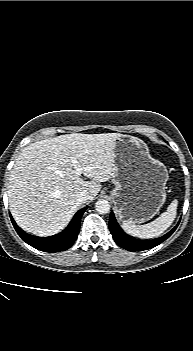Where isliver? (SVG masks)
Segmentation results:
<instances>
[{"label":"liver","mask_w":193,"mask_h":351,"mask_svg":"<svg viewBox=\"0 0 193 351\" xmlns=\"http://www.w3.org/2000/svg\"><path fill=\"white\" fill-rule=\"evenodd\" d=\"M121 134L73 133L37 141L25 147L9 178V207L17 224L38 236L63 230L78 209L77 195L93 200L100 182L113 177L115 141ZM75 157L85 181L71 163Z\"/></svg>","instance_id":"1"}]
</instances>
